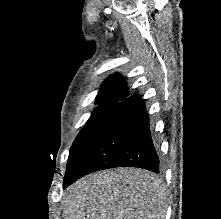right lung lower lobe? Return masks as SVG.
I'll return each instance as SVG.
<instances>
[{
	"label": "right lung lower lobe",
	"mask_w": 221,
	"mask_h": 219,
	"mask_svg": "<svg viewBox=\"0 0 221 219\" xmlns=\"http://www.w3.org/2000/svg\"><path fill=\"white\" fill-rule=\"evenodd\" d=\"M122 166L160 171L148 113L139 95L118 103L70 155L63 188L91 172Z\"/></svg>",
	"instance_id": "right-lung-lower-lobe-1"
}]
</instances>
